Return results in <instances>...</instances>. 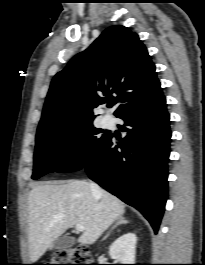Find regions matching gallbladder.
Returning a JSON list of instances; mask_svg holds the SVG:
<instances>
[{"mask_svg": "<svg viewBox=\"0 0 205 265\" xmlns=\"http://www.w3.org/2000/svg\"><path fill=\"white\" fill-rule=\"evenodd\" d=\"M75 243V239L69 235L58 237L52 244L51 248L54 250L62 251L72 247Z\"/></svg>", "mask_w": 205, "mask_h": 265, "instance_id": "gallbladder-1", "label": "gallbladder"}]
</instances>
